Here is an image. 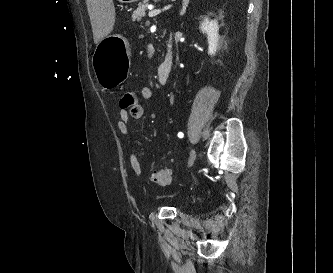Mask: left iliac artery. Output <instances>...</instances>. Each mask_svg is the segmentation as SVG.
<instances>
[{
	"mask_svg": "<svg viewBox=\"0 0 333 273\" xmlns=\"http://www.w3.org/2000/svg\"><path fill=\"white\" fill-rule=\"evenodd\" d=\"M178 137H179V138H183V137H184V134H183L182 132H179V133H178Z\"/></svg>",
	"mask_w": 333,
	"mask_h": 273,
	"instance_id": "left-iliac-artery-1",
	"label": "left iliac artery"
}]
</instances>
